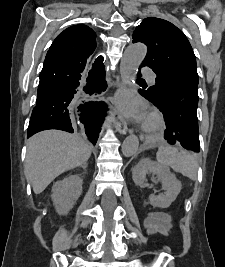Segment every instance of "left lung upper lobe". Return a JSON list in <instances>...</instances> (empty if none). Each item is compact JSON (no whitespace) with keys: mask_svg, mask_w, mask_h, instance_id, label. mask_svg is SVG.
<instances>
[{"mask_svg":"<svg viewBox=\"0 0 225 267\" xmlns=\"http://www.w3.org/2000/svg\"><path fill=\"white\" fill-rule=\"evenodd\" d=\"M142 42L148 47L142 65L157 75L155 86L146 89L149 96L160 102L162 95L174 84L190 80L198 84L196 59L192 47L172 23L148 17L136 27L133 43Z\"/></svg>","mask_w":225,"mask_h":267,"instance_id":"1","label":"left lung upper lobe"}]
</instances>
